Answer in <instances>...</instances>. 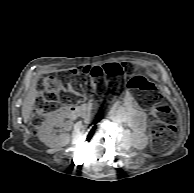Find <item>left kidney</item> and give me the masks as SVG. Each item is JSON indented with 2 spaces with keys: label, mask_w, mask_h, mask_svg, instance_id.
<instances>
[{
  "label": "left kidney",
  "mask_w": 194,
  "mask_h": 193,
  "mask_svg": "<svg viewBox=\"0 0 194 193\" xmlns=\"http://www.w3.org/2000/svg\"><path fill=\"white\" fill-rule=\"evenodd\" d=\"M148 145V137L142 134L136 138V148L144 149Z\"/></svg>",
  "instance_id": "5707ae66"
}]
</instances>
